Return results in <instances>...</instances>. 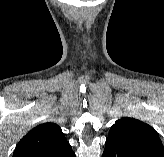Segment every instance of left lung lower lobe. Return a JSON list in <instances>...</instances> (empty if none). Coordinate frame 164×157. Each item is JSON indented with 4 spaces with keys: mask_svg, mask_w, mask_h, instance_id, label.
Instances as JSON below:
<instances>
[{
    "mask_svg": "<svg viewBox=\"0 0 164 157\" xmlns=\"http://www.w3.org/2000/svg\"><path fill=\"white\" fill-rule=\"evenodd\" d=\"M102 157H141V156L107 139Z\"/></svg>",
    "mask_w": 164,
    "mask_h": 157,
    "instance_id": "left-lung-lower-lobe-1",
    "label": "left lung lower lobe"
}]
</instances>
